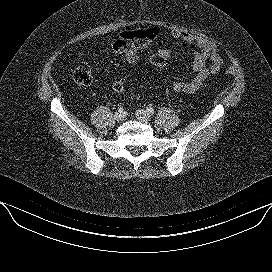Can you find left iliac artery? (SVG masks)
<instances>
[{
  "instance_id": "left-iliac-artery-1",
  "label": "left iliac artery",
  "mask_w": 272,
  "mask_h": 272,
  "mask_svg": "<svg viewBox=\"0 0 272 272\" xmlns=\"http://www.w3.org/2000/svg\"><path fill=\"white\" fill-rule=\"evenodd\" d=\"M147 111L150 113V114H154V108L153 107H147Z\"/></svg>"
}]
</instances>
